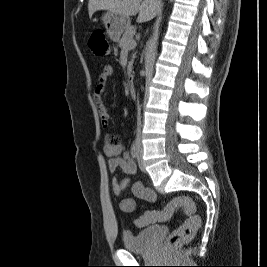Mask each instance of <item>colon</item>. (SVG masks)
<instances>
[{"mask_svg": "<svg viewBox=\"0 0 267 267\" xmlns=\"http://www.w3.org/2000/svg\"><path fill=\"white\" fill-rule=\"evenodd\" d=\"M89 47L94 55L104 57L110 53V45L101 31H95L89 38ZM177 209H182L187 218L165 240L168 248L176 247L190 241L200 226L201 220L196 213V205L188 196L174 197L163 209L149 210L139 216L135 223L144 227L152 223L168 220Z\"/></svg>", "mask_w": 267, "mask_h": 267, "instance_id": "1", "label": "colon"}]
</instances>
